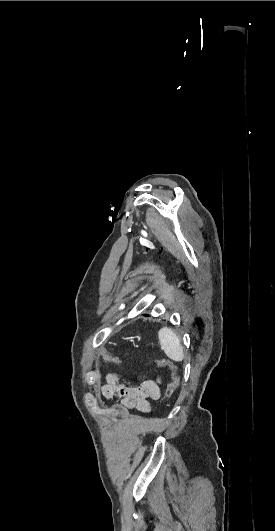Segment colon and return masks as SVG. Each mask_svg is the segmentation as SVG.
I'll list each match as a JSON object with an SVG mask.
<instances>
[{
	"mask_svg": "<svg viewBox=\"0 0 275 531\" xmlns=\"http://www.w3.org/2000/svg\"><path fill=\"white\" fill-rule=\"evenodd\" d=\"M100 356L102 358L101 360L105 363H111V364L120 363V360L119 358L116 357V352L114 350L104 349L101 351ZM156 365L158 368L166 369L171 376V382L168 384L167 394L161 400L162 404H160V407H163V405H167L168 403L172 402L173 400L172 395L174 394V392L176 391L178 387L179 378H178L177 368L174 365V363H172L170 360L160 359L156 362Z\"/></svg>",
	"mask_w": 275,
	"mask_h": 531,
	"instance_id": "1",
	"label": "colon"
}]
</instances>
